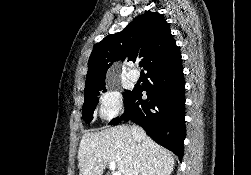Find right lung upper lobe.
Instances as JSON below:
<instances>
[{
    "label": "right lung upper lobe",
    "instance_id": "right-lung-upper-lobe-1",
    "mask_svg": "<svg viewBox=\"0 0 251 175\" xmlns=\"http://www.w3.org/2000/svg\"><path fill=\"white\" fill-rule=\"evenodd\" d=\"M181 57L169 23L158 12L137 16L121 32L95 44L88 61L86 86H105L108 68L118 60L141 58L146 70L171 63Z\"/></svg>",
    "mask_w": 251,
    "mask_h": 175
}]
</instances>
